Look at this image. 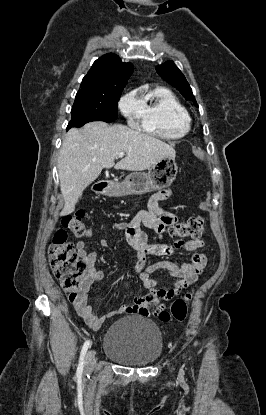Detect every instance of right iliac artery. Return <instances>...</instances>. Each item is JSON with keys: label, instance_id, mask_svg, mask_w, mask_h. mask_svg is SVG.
I'll return each instance as SVG.
<instances>
[{"label": "right iliac artery", "instance_id": "obj_1", "mask_svg": "<svg viewBox=\"0 0 266 415\" xmlns=\"http://www.w3.org/2000/svg\"><path fill=\"white\" fill-rule=\"evenodd\" d=\"M90 340L85 341V343L83 344L81 353H80V358H79V363H78V367H77V376H81L82 372H83V367H84V358L86 355V352L90 346Z\"/></svg>", "mask_w": 266, "mask_h": 415}]
</instances>
